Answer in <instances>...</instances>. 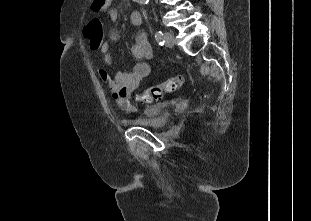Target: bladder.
<instances>
[{
  "mask_svg": "<svg viewBox=\"0 0 311 221\" xmlns=\"http://www.w3.org/2000/svg\"><path fill=\"white\" fill-rule=\"evenodd\" d=\"M167 101L162 103H156L151 106V108H143V115H149L145 118H130L126 122L128 125L140 128L148 129H164L169 123L170 117L166 112Z\"/></svg>",
  "mask_w": 311,
  "mask_h": 221,
  "instance_id": "bladder-1",
  "label": "bladder"
}]
</instances>
